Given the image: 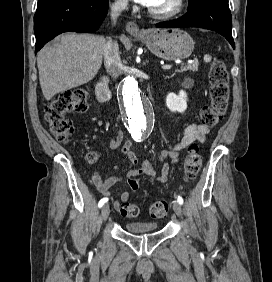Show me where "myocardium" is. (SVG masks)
Here are the masks:
<instances>
[{
	"instance_id": "1",
	"label": "myocardium",
	"mask_w": 272,
	"mask_h": 282,
	"mask_svg": "<svg viewBox=\"0 0 272 282\" xmlns=\"http://www.w3.org/2000/svg\"><path fill=\"white\" fill-rule=\"evenodd\" d=\"M185 1L186 0H178L177 7L174 10L169 11V12H159V11L152 10L151 8L148 9V12L153 17H156V18L171 19V18L177 17L184 11Z\"/></svg>"
}]
</instances>
